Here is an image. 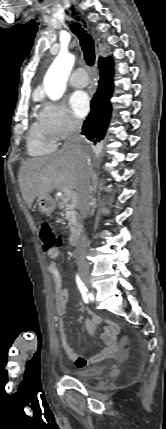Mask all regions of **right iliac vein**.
Instances as JSON below:
<instances>
[{"mask_svg":"<svg viewBox=\"0 0 166 429\" xmlns=\"http://www.w3.org/2000/svg\"><path fill=\"white\" fill-rule=\"evenodd\" d=\"M79 274H80L81 279H82L83 283L85 284V286L87 288H90V276H89L88 270L85 268H80Z\"/></svg>","mask_w":166,"mask_h":429,"instance_id":"63e3f726","label":"right iliac vein"}]
</instances>
